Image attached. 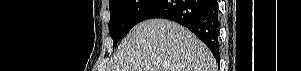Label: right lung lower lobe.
Masks as SVG:
<instances>
[{
  "label": "right lung lower lobe",
  "instance_id": "obj_1",
  "mask_svg": "<svg viewBox=\"0 0 301 71\" xmlns=\"http://www.w3.org/2000/svg\"><path fill=\"white\" fill-rule=\"evenodd\" d=\"M152 18L173 20L187 27L208 46L219 63L217 0H156L139 22Z\"/></svg>",
  "mask_w": 301,
  "mask_h": 71
}]
</instances>
